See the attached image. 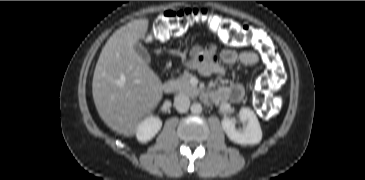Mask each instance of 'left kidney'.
Returning <instances> with one entry per match:
<instances>
[{
  "instance_id": "left-kidney-1",
  "label": "left kidney",
  "mask_w": 365,
  "mask_h": 180,
  "mask_svg": "<svg viewBox=\"0 0 365 180\" xmlns=\"http://www.w3.org/2000/svg\"><path fill=\"white\" fill-rule=\"evenodd\" d=\"M239 118L244 123L243 128H236L235 119H223L221 124L228 138L237 144H258L262 139V131L258 119L249 108L239 111Z\"/></svg>"
}]
</instances>
